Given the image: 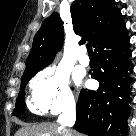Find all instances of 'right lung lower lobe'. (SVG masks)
Returning a JSON list of instances; mask_svg holds the SVG:
<instances>
[{
  "instance_id": "1",
  "label": "right lung lower lobe",
  "mask_w": 136,
  "mask_h": 136,
  "mask_svg": "<svg viewBox=\"0 0 136 136\" xmlns=\"http://www.w3.org/2000/svg\"><path fill=\"white\" fill-rule=\"evenodd\" d=\"M95 53L98 64L91 77L100 85L97 91H81L75 128L89 136H126L132 70L128 35L103 43Z\"/></svg>"
}]
</instances>
